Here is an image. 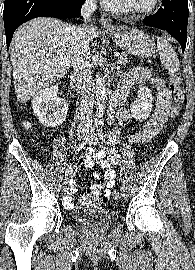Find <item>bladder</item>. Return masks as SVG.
I'll use <instances>...</instances> for the list:
<instances>
[{"label": "bladder", "mask_w": 195, "mask_h": 270, "mask_svg": "<svg viewBox=\"0 0 195 270\" xmlns=\"http://www.w3.org/2000/svg\"><path fill=\"white\" fill-rule=\"evenodd\" d=\"M118 217L119 214L115 209L96 205L75 212L72 218L80 227H97L104 230L116 224Z\"/></svg>", "instance_id": "1"}]
</instances>
